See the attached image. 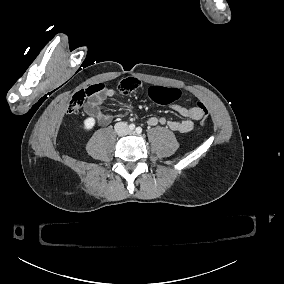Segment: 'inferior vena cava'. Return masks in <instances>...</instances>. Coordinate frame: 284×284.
I'll list each match as a JSON object with an SVG mask.
<instances>
[{"mask_svg":"<svg viewBox=\"0 0 284 284\" xmlns=\"http://www.w3.org/2000/svg\"><path fill=\"white\" fill-rule=\"evenodd\" d=\"M114 128L119 136H125L130 133V129L126 122H118L115 124Z\"/></svg>","mask_w":284,"mask_h":284,"instance_id":"obj_1","label":"inferior vena cava"}]
</instances>
